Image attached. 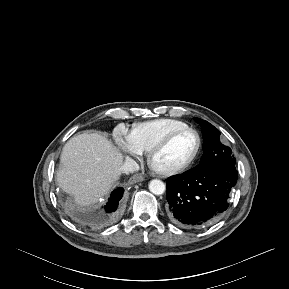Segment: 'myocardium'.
Segmentation results:
<instances>
[{"mask_svg":"<svg viewBox=\"0 0 289 289\" xmlns=\"http://www.w3.org/2000/svg\"><path fill=\"white\" fill-rule=\"evenodd\" d=\"M185 132H191L197 138L196 148H195L193 154L190 156V158L188 160H186L184 163H182L176 167H173V168H169V169L157 168L154 165L155 156L161 150H163L172 141L173 138H175L177 135H179L181 133H185ZM201 147H202V137L196 129L191 128V127H184V128L176 129V130H173V131L169 132L168 134H166L162 139H160L156 144H154L152 146V148L148 151V156H147L148 164H149L150 168L155 173H157L161 176H172V175L181 173V172L185 171L186 169H188L194 163V161L197 159V157L201 151Z\"/></svg>","mask_w":289,"mask_h":289,"instance_id":"obj_1","label":"myocardium"}]
</instances>
